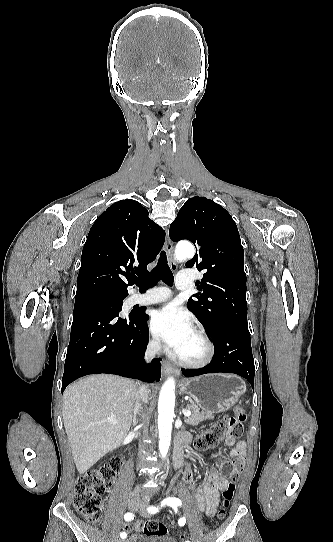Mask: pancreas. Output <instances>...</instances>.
<instances>
[{
	"mask_svg": "<svg viewBox=\"0 0 333 542\" xmlns=\"http://www.w3.org/2000/svg\"><path fill=\"white\" fill-rule=\"evenodd\" d=\"M187 408H189L191 416L190 418H184V422L185 424H189V426H198L203 420H213L214 414H217V412H209V410L199 412V408L194 402H189Z\"/></svg>",
	"mask_w": 333,
	"mask_h": 542,
	"instance_id": "cf45deb5",
	"label": "pancreas"
}]
</instances>
